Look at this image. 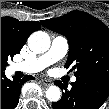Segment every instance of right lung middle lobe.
<instances>
[{"label":"right lung middle lobe","instance_id":"obj_1","mask_svg":"<svg viewBox=\"0 0 109 109\" xmlns=\"http://www.w3.org/2000/svg\"><path fill=\"white\" fill-rule=\"evenodd\" d=\"M15 53H13L7 45L1 41V72H4L6 66L8 65V59H12Z\"/></svg>","mask_w":109,"mask_h":109}]
</instances>
